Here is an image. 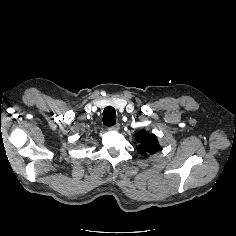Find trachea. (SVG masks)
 Here are the masks:
<instances>
[{
	"label": "trachea",
	"instance_id": "obj_1",
	"mask_svg": "<svg viewBox=\"0 0 236 236\" xmlns=\"http://www.w3.org/2000/svg\"><path fill=\"white\" fill-rule=\"evenodd\" d=\"M103 124L105 126H114L116 124V111L112 106H107L103 111Z\"/></svg>",
	"mask_w": 236,
	"mask_h": 236
}]
</instances>
